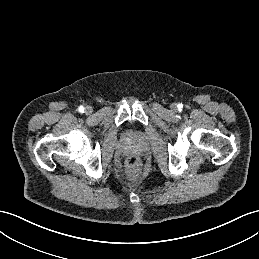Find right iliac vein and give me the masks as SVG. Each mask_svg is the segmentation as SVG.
Wrapping results in <instances>:
<instances>
[{
    "instance_id": "obj_1",
    "label": "right iliac vein",
    "mask_w": 259,
    "mask_h": 259,
    "mask_svg": "<svg viewBox=\"0 0 259 259\" xmlns=\"http://www.w3.org/2000/svg\"><path fill=\"white\" fill-rule=\"evenodd\" d=\"M85 112H86V114L92 113V108L90 106L86 107Z\"/></svg>"
}]
</instances>
